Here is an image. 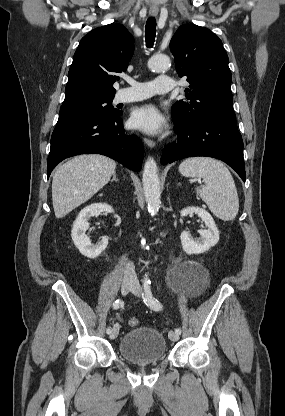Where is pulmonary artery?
Masks as SVG:
<instances>
[{
    "label": "pulmonary artery",
    "instance_id": "obj_1",
    "mask_svg": "<svg viewBox=\"0 0 285 416\" xmlns=\"http://www.w3.org/2000/svg\"><path fill=\"white\" fill-rule=\"evenodd\" d=\"M129 85V87H121L119 89L115 95L114 103H127L166 93L175 86V82L169 76L160 75L154 80L145 83L130 80ZM149 85H152V87H142Z\"/></svg>",
    "mask_w": 285,
    "mask_h": 416
}]
</instances>
